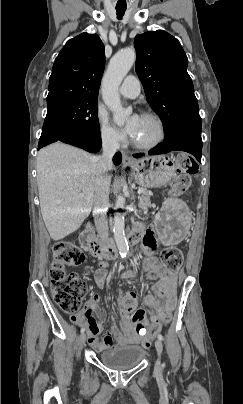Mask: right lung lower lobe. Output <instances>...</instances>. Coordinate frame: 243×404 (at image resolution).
<instances>
[{
  "label": "right lung lower lobe",
  "mask_w": 243,
  "mask_h": 404,
  "mask_svg": "<svg viewBox=\"0 0 243 404\" xmlns=\"http://www.w3.org/2000/svg\"><path fill=\"white\" fill-rule=\"evenodd\" d=\"M58 141L77 146L92 153L98 152L102 145L100 136L89 135L80 132H68L59 137ZM121 160V154L116 153L113 158L114 164H120Z\"/></svg>",
  "instance_id": "right-lung-lower-lobe-1"
}]
</instances>
